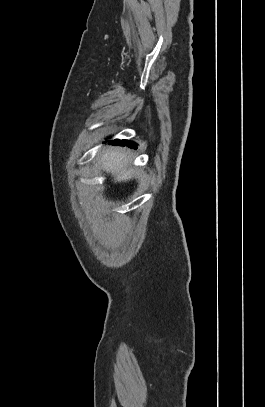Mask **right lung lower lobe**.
I'll return each instance as SVG.
<instances>
[{
	"label": "right lung lower lobe",
	"instance_id": "obj_1",
	"mask_svg": "<svg viewBox=\"0 0 265 407\" xmlns=\"http://www.w3.org/2000/svg\"><path fill=\"white\" fill-rule=\"evenodd\" d=\"M112 142L113 145H120V146H128L130 148H135L137 149V145L134 142L131 141H126V140H114L110 141Z\"/></svg>",
	"mask_w": 265,
	"mask_h": 407
}]
</instances>
